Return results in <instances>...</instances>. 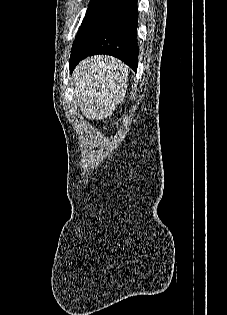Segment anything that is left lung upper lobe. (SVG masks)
<instances>
[{
    "mask_svg": "<svg viewBox=\"0 0 227 315\" xmlns=\"http://www.w3.org/2000/svg\"><path fill=\"white\" fill-rule=\"evenodd\" d=\"M97 0H91L90 4H89V7H88V10L95 4Z\"/></svg>",
    "mask_w": 227,
    "mask_h": 315,
    "instance_id": "5c2ea615",
    "label": "left lung upper lobe"
}]
</instances>
